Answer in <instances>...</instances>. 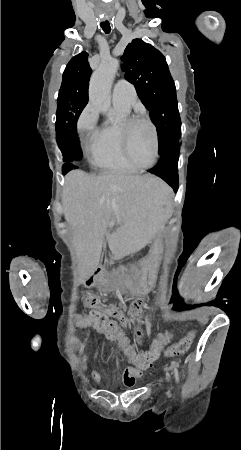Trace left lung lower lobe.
I'll return each mask as SVG.
<instances>
[{
	"mask_svg": "<svg viewBox=\"0 0 241 450\" xmlns=\"http://www.w3.org/2000/svg\"><path fill=\"white\" fill-rule=\"evenodd\" d=\"M178 158L179 145L171 148L166 154L160 156L159 163L148 171L166 181L174 191L178 188Z\"/></svg>",
	"mask_w": 241,
	"mask_h": 450,
	"instance_id": "0a47b994",
	"label": "left lung lower lobe"
}]
</instances>
